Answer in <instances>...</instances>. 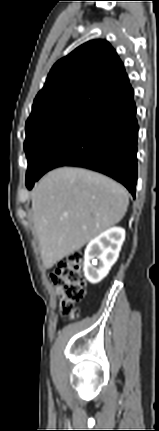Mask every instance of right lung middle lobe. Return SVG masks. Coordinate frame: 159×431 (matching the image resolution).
Here are the masks:
<instances>
[{
  "mask_svg": "<svg viewBox=\"0 0 159 431\" xmlns=\"http://www.w3.org/2000/svg\"><path fill=\"white\" fill-rule=\"evenodd\" d=\"M86 118L72 113H55L26 124L24 143L28 160L26 183L39 174L44 158L52 146Z\"/></svg>",
  "mask_w": 159,
  "mask_h": 431,
  "instance_id": "dd1d6c3e",
  "label": "right lung middle lobe"
}]
</instances>
